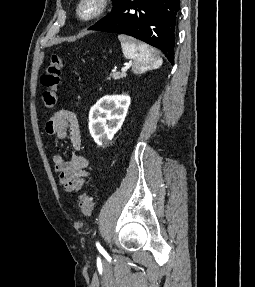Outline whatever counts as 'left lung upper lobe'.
<instances>
[{"mask_svg":"<svg viewBox=\"0 0 255 287\" xmlns=\"http://www.w3.org/2000/svg\"><path fill=\"white\" fill-rule=\"evenodd\" d=\"M117 0H112L113 4L116 2Z\"/></svg>","mask_w":255,"mask_h":287,"instance_id":"left-lung-upper-lobe-1","label":"left lung upper lobe"}]
</instances>
